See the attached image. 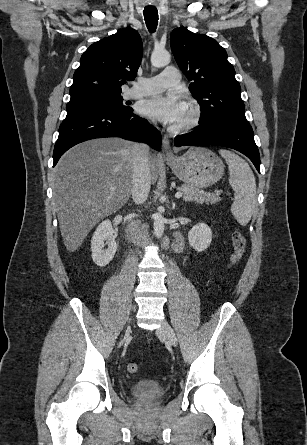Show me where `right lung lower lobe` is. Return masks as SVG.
Instances as JSON below:
<instances>
[{
  "label": "right lung lower lobe",
  "instance_id": "right-lung-lower-lobe-1",
  "mask_svg": "<svg viewBox=\"0 0 307 445\" xmlns=\"http://www.w3.org/2000/svg\"><path fill=\"white\" fill-rule=\"evenodd\" d=\"M101 137L142 141L156 150L161 147L159 131L145 119L135 116L132 111L103 107L79 108L67 111V116L60 125L53 152V166L69 148Z\"/></svg>",
  "mask_w": 307,
  "mask_h": 445
}]
</instances>
